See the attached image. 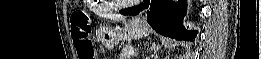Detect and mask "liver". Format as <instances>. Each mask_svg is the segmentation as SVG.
Masks as SVG:
<instances>
[{
  "instance_id": "6515ba94",
  "label": "liver",
  "mask_w": 261,
  "mask_h": 59,
  "mask_svg": "<svg viewBox=\"0 0 261 59\" xmlns=\"http://www.w3.org/2000/svg\"><path fill=\"white\" fill-rule=\"evenodd\" d=\"M100 16L113 21H125V17L117 14H100Z\"/></svg>"
}]
</instances>
